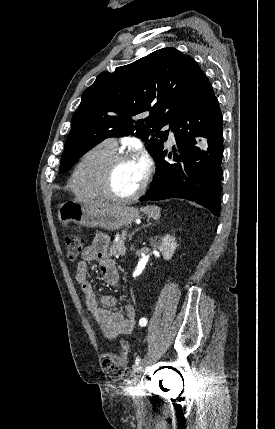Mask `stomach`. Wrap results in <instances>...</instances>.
<instances>
[{
	"instance_id": "1",
	"label": "stomach",
	"mask_w": 275,
	"mask_h": 429,
	"mask_svg": "<svg viewBox=\"0 0 275 429\" xmlns=\"http://www.w3.org/2000/svg\"><path fill=\"white\" fill-rule=\"evenodd\" d=\"M139 218L136 208L123 205H111L104 208H92L76 200L64 202L59 206L58 219L63 227L69 222L81 226L101 227L109 231L131 225Z\"/></svg>"
}]
</instances>
